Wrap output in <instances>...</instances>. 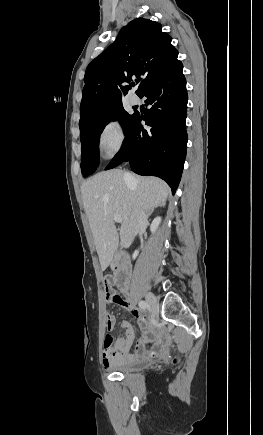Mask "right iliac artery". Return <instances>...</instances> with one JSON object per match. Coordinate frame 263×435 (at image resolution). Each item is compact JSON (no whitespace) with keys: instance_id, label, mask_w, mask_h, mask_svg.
<instances>
[{"instance_id":"82829eb1","label":"right iliac artery","mask_w":263,"mask_h":435,"mask_svg":"<svg viewBox=\"0 0 263 435\" xmlns=\"http://www.w3.org/2000/svg\"><path fill=\"white\" fill-rule=\"evenodd\" d=\"M139 307H140L141 309H143V310H146L147 307H148V305H147V303H146L145 301H140V302H139Z\"/></svg>"}]
</instances>
